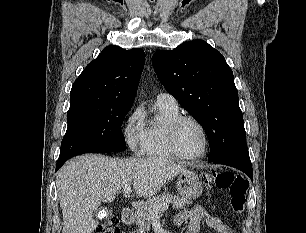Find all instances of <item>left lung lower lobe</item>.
<instances>
[{
    "instance_id": "obj_1",
    "label": "left lung lower lobe",
    "mask_w": 306,
    "mask_h": 233,
    "mask_svg": "<svg viewBox=\"0 0 306 233\" xmlns=\"http://www.w3.org/2000/svg\"><path fill=\"white\" fill-rule=\"evenodd\" d=\"M209 162L215 164H224L237 168L246 173L251 179H253V170L249 154L229 156Z\"/></svg>"
}]
</instances>
